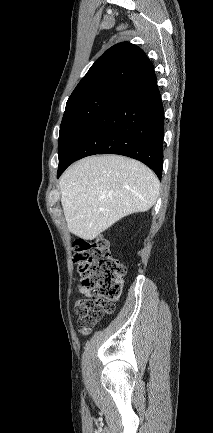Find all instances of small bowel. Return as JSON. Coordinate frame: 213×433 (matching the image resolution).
Returning a JSON list of instances; mask_svg holds the SVG:
<instances>
[{
  "label": "small bowel",
  "instance_id": "1",
  "mask_svg": "<svg viewBox=\"0 0 213 433\" xmlns=\"http://www.w3.org/2000/svg\"><path fill=\"white\" fill-rule=\"evenodd\" d=\"M79 291H80L82 294H84L85 296H89V295H90L89 290H87V289L84 288V287L79 286ZM89 329H90V327H89V328H85V329H84V332H85V333L88 332Z\"/></svg>",
  "mask_w": 213,
  "mask_h": 433
}]
</instances>
